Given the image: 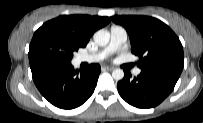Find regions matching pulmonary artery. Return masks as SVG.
Listing matches in <instances>:
<instances>
[{"label": "pulmonary artery", "instance_id": "obj_1", "mask_svg": "<svg viewBox=\"0 0 203 123\" xmlns=\"http://www.w3.org/2000/svg\"><path fill=\"white\" fill-rule=\"evenodd\" d=\"M110 43L107 47H105L103 50L92 53V54H82L78 56L77 61L78 62H98L106 58L110 53L117 50L119 47H121L126 39H127V33L126 30L119 25H113L110 29ZM141 70L139 68H136L134 70L135 75H139Z\"/></svg>", "mask_w": 203, "mask_h": 123}]
</instances>
